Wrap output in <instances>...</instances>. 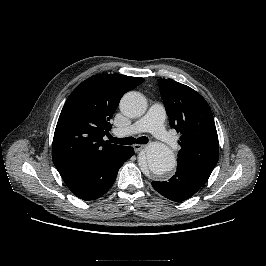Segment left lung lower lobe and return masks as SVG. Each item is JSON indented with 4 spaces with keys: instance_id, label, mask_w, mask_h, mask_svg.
Segmentation results:
<instances>
[{
    "instance_id": "1",
    "label": "left lung lower lobe",
    "mask_w": 266,
    "mask_h": 266,
    "mask_svg": "<svg viewBox=\"0 0 266 266\" xmlns=\"http://www.w3.org/2000/svg\"><path fill=\"white\" fill-rule=\"evenodd\" d=\"M207 179L199 177L188 170L177 167L175 175L168 181H152L153 188L172 201H184L193 196Z\"/></svg>"
}]
</instances>
